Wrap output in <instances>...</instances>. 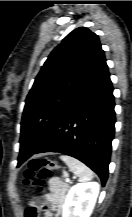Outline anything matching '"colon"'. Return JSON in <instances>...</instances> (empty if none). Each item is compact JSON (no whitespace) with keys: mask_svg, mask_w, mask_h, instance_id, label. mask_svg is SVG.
Here are the masks:
<instances>
[{"mask_svg":"<svg viewBox=\"0 0 132 217\" xmlns=\"http://www.w3.org/2000/svg\"><path fill=\"white\" fill-rule=\"evenodd\" d=\"M58 168L56 162L49 159H34L30 162L25 172V184L32 185L38 190L42 189L45 180L52 176L53 172ZM39 208L30 206L27 211V217H38Z\"/></svg>","mask_w":132,"mask_h":217,"instance_id":"obj_1","label":"colon"}]
</instances>
